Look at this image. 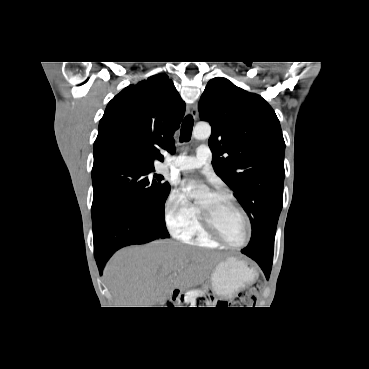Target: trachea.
<instances>
[{
    "mask_svg": "<svg viewBox=\"0 0 369 369\" xmlns=\"http://www.w3.org/2000/svg\"><path fill=\"white\" fill-rule=\"evenodd\" d=\"M192 128H193V117L191 115H187L184 118L181 126V135H180L181 142H188L191 139Z\"/></svg>",
    "mask_w": 369,
    "mask_h": 369,
    "instance_id": "1",
    "label": "trachea"
}]
</instances>
